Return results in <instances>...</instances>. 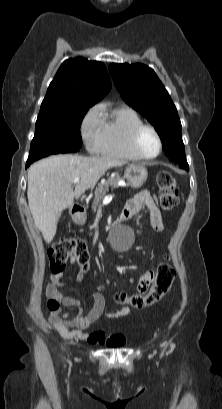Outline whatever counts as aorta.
I'll return each instance as SVG.
<instances>
[{"mask_svg": "<svg viewBox=\"0 0 222 409\" xmlns=\"http://www.w3.org/2000/svg\"><path fill=\"white\" fill-rule=\"evenodd\" d=\"M128 234H129V231L125 228H119L117 230L116 235H117V238L120 239L117 242V247L120 250H125L130 246V243L128 241H125V239L128 237Z\"/></svg>", "mask_w": 222, "mask_h": 409, "instance_id": "762f6f07", "label": "aorta"}]
</instances>
